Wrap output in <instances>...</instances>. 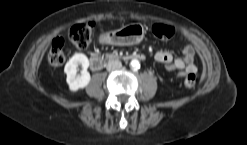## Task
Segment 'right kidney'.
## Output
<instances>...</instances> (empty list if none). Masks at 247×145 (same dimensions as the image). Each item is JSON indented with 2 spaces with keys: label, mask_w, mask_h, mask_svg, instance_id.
<instances>
[{
  "label": "right kidney",
  "mask_w": 247,
  "mask_h": 145,
  "mask_svg": "<svg viewBox=\"0 0 247 145\" xmlns=\"http://www.w3.org/2000/svg\"><path fill=\"white\" fill-rule=\"evenodd\" d=\"M82 65L83 70L81 75H77V68ZM89 67V60L86 55L82 53H76L72 58L66 63L64 72L67 75V83L69 89L73 92L85 88L90 80V73L87 71Z\"/></svg>",
  "instance_id": "ca27d5eb"
}]
</instances>
